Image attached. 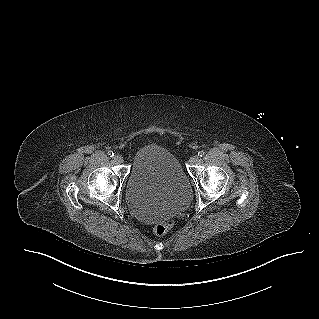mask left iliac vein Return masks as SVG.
Here are the masks:
<instances>
[{
    "mask_svg": "<svg viewBox=\"0 0 319 319\" xmlns=\"http://www.w3.org/2000/svg\"><path fill=\"white\" fill-rule=\"evenodd\" d=\"M198 162H199V157L197 155H194L189 159L190 164H196Z\"/></svg>",
    "mask_w": 319,
    "mask_h": 319,
    "instance_id": "1",
    "label": "left iliac vein"
}]
</instances>
